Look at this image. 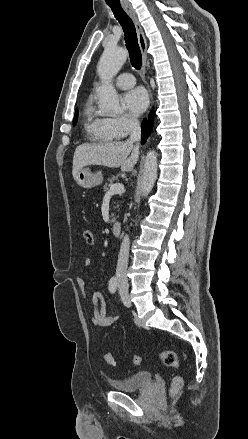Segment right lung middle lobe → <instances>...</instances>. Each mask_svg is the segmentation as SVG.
Wrapping results in <instances>:
<instances>
[{
	"label": "right lung middle lobe",
	"instance_id": "1",
	"mask_svg": "<svg viewBox=\"0 0 248 439\" xmlns=\"http://www.w3.org/2000/svg\"><path fill=\"white\" fill-rule=\"evenodd\" d=\"M77 119H78V111L75 112V116H74V119H73V125L76 124Z\"/></svg>",
	"mask_w": 248,
	"mask_h": 439
}]
</instances>
